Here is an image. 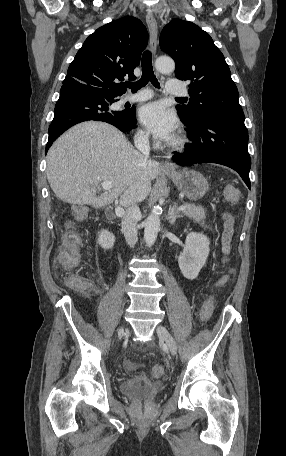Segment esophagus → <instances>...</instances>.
Segmentation results:
<instances>
[{
  "mask_svg": "<svg viewBox=\"0 0 286 456\" xmlns=\"http://www.w3.org/2000/svg\"><path fill=\"white\" fill-rule=\"evenodd\" d=\"M146 22H147V26H148V30H149V35H150V49H151L152 53L155 54L156 49H157L158 27H157V22L155 20V17L151 12H149L146 15ZM163 167L166 171H169V172L176 171L175 167L168 161H164Z\"/></svg>",
  "mask_w": 286,
  "mask_h": 456,
  "instance_id": "esophagus-1",
  "label": "esophagus"
}]
</instances>
